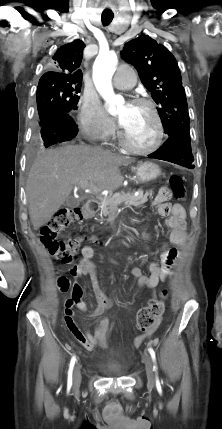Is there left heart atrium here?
<instances>
[{"mask_svg": "<svg viewBox=\"0 0 222 429\" xmlns=\"http://www.w3.org/2000/svg\"><path fill=\"white\" fill-rule=\"evenodd\" d=\"M131 106V104L130 103H128L127 104V107H130ZM119 123H120V125L122 126V124H123V119L122 118H119Z\"/></svg>", "mask_w": 222, "mask_h": 429, "instance_id": "39dd6f15", "label": "left heart atrium"}]
</instances>
